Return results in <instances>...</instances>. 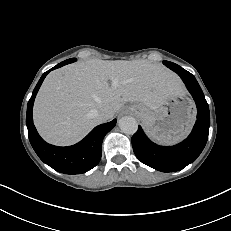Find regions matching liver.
<instances>
[{"label": "liver", "mask_w": 231, "mask_h": 231, "mask_svg": "<svg viewBox=\"0 0 231 231\" xmlns=\"http://www.w3.org/2000/svg\"><path fill=\"white\" fill-rule=\"evenodd\" d=\"M181 92L177 76L164 65L91 59L46 77L35 99L34 124L47 142L71 145L101 123V110L113 117L126 102L155 110L169 95Z\"/></svg>", "instance_id": "6515ba94"}]
</instances>
